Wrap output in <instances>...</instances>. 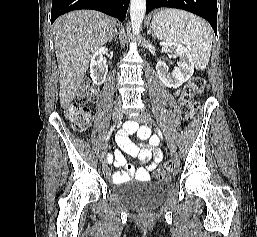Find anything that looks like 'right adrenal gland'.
Returning a JSON list of instances; mask_svg holds the SVG:
<instances>
[{
  "mask_svg": "<svg viewBox=\"0 0 257 237\" xmlns=\"http://www.w3.org/2000/svg\"><path fill=\"white\" fill-rule=\"evenodd\" d=\"M117 34H118V33H117V29H116V30H115V32H114V34H113V36L110 38V40H109V41L111 42L112 38H113V37H116V36H117Z\"/></svg>",
  "mask_w": 257,
  "mask_h": 237,
  "instance_id": "right-adrenal-gland-1",
  "label": "right adrenal gland"
}]
</instances>
